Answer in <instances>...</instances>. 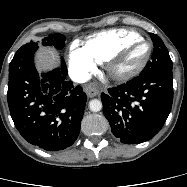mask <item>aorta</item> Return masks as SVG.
Returning a JSON list of instances; mask_svg holds the SVG:
<instances>
[{
	"mask_svg": "<svg viewBox=\"0 0 187 187\" xmlns=\"http://www.w3.org/2000/svg\"><path fill=\"white\" fill-rule=\"evenodd\" d=\"M89 108L92 112H99L102 109V102L98 99H92L89 102Z\"/></svg>",
	"mask_w": 187,
	"mask_h": 187,
	"instance_id": "1",
	"label": "aorta"
}]
</instances>
